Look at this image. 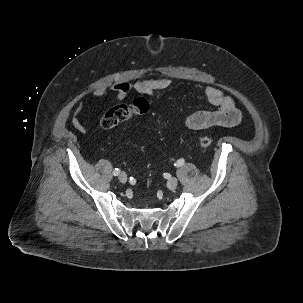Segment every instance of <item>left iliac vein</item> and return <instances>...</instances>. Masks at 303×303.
Returning a JSON list of instances; mask_svg holds the SVG:
<instances>
[{
	"label": "left iliac vein",
	"instance_id": "left-iliac-vein-1",
	"mask_svg": "<svg viewBox=\"0 0 303 303\" xmlns=\"http://www.w3.org/2000/svg\"><path fill=\"white\" fill-rule=\"evenodd\" d=\"M177 185H178V180L175 177H172L167 181V187L170 190H174L177 187Z\"/></svg>",
	"mask_w": 303,
	"mask_h": 303
}]
</instances>
